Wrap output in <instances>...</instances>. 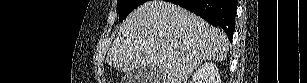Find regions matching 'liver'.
<instances>
[{"mask_svg":"<svg viewBox=\"0 0 307 83\" xmlns=\"http://www.w3.org/2000/svg\"><path fill=\"white\" fill-rule=\"evenodd\" d=\"M228 51L223 30L180 6L152 0L122 22L106 61L125 73L153 66L162 73L159 83H187L201 62H221Z\"/></svg>","mask_w":307,"mask_h":83,"instance_id":"obj_1","label":"liver"}]
</instances>
